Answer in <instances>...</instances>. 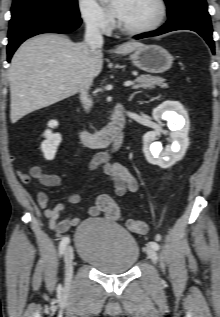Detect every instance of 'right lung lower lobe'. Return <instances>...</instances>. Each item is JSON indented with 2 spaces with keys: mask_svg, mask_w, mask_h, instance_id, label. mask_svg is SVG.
<instances>
[{
  "mask_svg": "<svg viewBox=\"0 0 220 317\" xmlns=\"http://www.w3.org/2000/svg\"><path fill=\"white\" fill-rule=\"evenodd\" d=\"M80 24V17L55 12H33L11 19L7 45L8 62L17 47L26 39L40 33H69Z\"/></svg>",
  "mask_w": 220,
  "mask_h": 317,
  "instance_id": "1",
  "label": "right lung lower lobe"
}]
</instances>
